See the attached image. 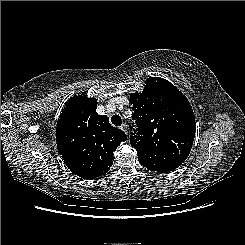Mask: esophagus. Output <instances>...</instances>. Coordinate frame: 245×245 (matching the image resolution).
<instances>
[{"instance_id": "1", "label": "esophagus", "mask_w": 245, "mask_h": 245, "mask_svg": "<svg viewBox=\"0 0 245 245\" xmlns=\"http://www.w3.org/2000/svg\"><path fill=\"white\" fill-rule=\"evenodd\" d=\"M121 129H122L126 134H128V129H127V125H126V124H122V125H121Z\"/></svg>"}]
</instances>
